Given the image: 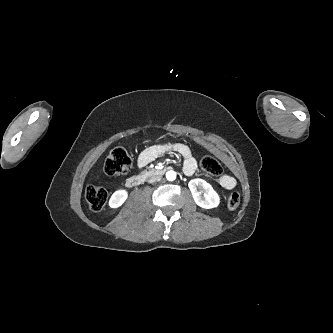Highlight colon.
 <instances>
[{"mask_svg":"<svg viewBox=\"0 0 333 333\" xmlns=\"http://www.w3.org/2000/svg\"><path fill=\"white\" fill-rule=\"evenodd\" d=\"M132 165V159L124 148L114 149L104 164V171L109 175L126 173ZM200 167L205 172L212 175H220L222 167L220 163L212 156H204L200 161ZM86 201L93 211H100L104 208L108 194L102 187L89 186L85 192ZM227 205L230 209H237L240 205V194L232 192L228 197Z\"/></svg>","mask_w":333,"mask_h":333,"instance_id":"5ec220e1","label":"colon"}]
</instances>
